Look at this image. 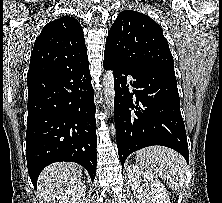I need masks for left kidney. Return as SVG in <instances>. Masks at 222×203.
Returning <instances> with one entry per match:
<instances>
[{
	"instance_id": "obj_1",
	"label": "left kidney",
	"mask_w": 222,
	"mask_h": 203,
	"mask_svg": "<svg viewBox=\"0 0 222 203\" xmlns=\"http://www.w3.org/2000/svg\"><path fill=\"white\" fill-rule=\"evenodd\" d=\"M126 171L137 203H170L165 186L150 171L136 164Z\"/></svg>"
}]
</instances>
